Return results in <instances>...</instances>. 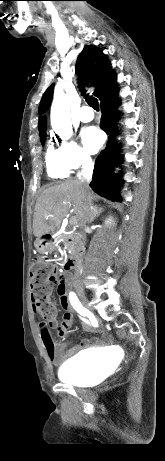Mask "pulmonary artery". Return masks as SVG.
<instances>
[{
  "instance_id": "obj_1",
  "label": "pulmonary artery",
  "mask_w": 165,
  "mask_h": 461,
  "mask_svg": "<svg viewBox=\"0 0 165 461\" xmlns=\"http://www.w3.org/2000/svg\"><path fill=\"white\" fill-rule=\"evenodd\" d=\"M78 118L82 122H89L94 118V113L89 106H82L78 111Z\"/></svg>"
}]
</instances>
